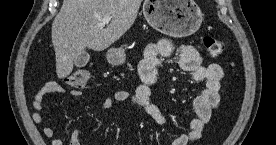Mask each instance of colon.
<instances>
[{"label":"colon","instance_id":"5ec220e1","mask_svg":"<svg viewBox=\"0 0 276 145\" xmlns=\"http://www.w3.org/2000/svg\"><path fill=\"white\" fill-rule=\"evenodd\" d=\"M202 41L208 53L213 57L220 56L225 50V44L213 36L206 35ZM89 77L90 74L87 69L79 68L67 75L65 82L72 87H83L88 82Z\"/></svg>","mask_w":276,"mask_h":145}]
</instances>
